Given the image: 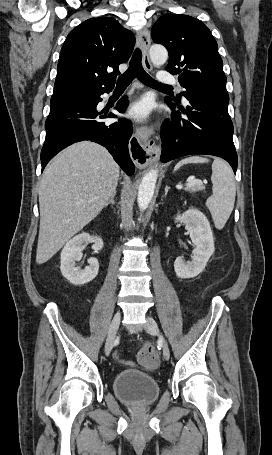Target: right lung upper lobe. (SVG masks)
<instances>
[{"instance_id": "obj_1", "label": "right lung upper lobe", "mask_w": 272, "mask_h": 455, "mask_svg": "<svg viewBox=\"0 0 272 455\" xmlns=\"http://www.w3.org/2000/svg\"><path fill=\"white\" fill-rule=\"evenodd\" d=\"M134 44L133 33L114 18H91L78 25L62 46L50 103L112 90L118 66L129 59Z\"/></svg>"}]
</instances>
